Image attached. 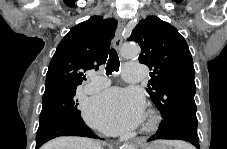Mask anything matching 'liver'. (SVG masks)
<instances>
[{"mask_svg": "<svg viewBox=\"0 0 227 149\" xmlns=\"http://www.w3.org/2000/svg\"><path fill=\"white\" fill-rule=\"evenodd\" d=\"M41 149H102V147L88 138L58 137L43 145Z\"/></svg>", "mask_w": 227, "mask_h": 149, "instance_id": "liver-1", "label": "liver"}]
</instances>
